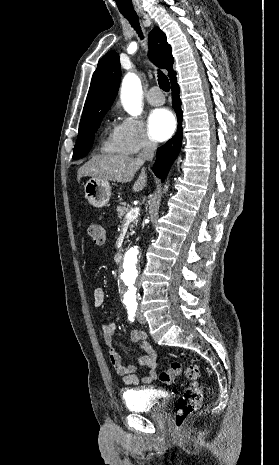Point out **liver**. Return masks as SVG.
<instances>
[{
  "mask_svg": "<svg viewBox=\"0 0 279 465\" xmlns=\"http://www.w3.org/2000/svg\"><path fill=\"white\" fill-rule=\"evenodd\" d=\"M143 163L138 158L122 154L96 155L78 169L77 179L79 181L82 177L89 176L99 180L127 183L133 179L134 174L143 166ZM146 184V169L142 168L133 185V191L143 190Z\"/></svg>",
  "mask_w": 279,
  "mask_h": 465,
  "instance_id": "6515ba94",
  "label": "liver"
}]
</instances>
